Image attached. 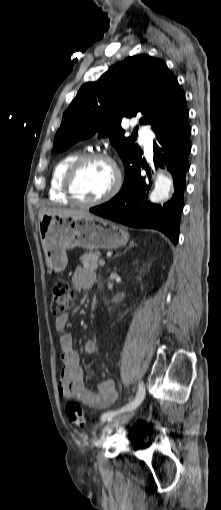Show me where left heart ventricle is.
Masks as SVG:
<instances>
[{
	"label": "left heart ventricle",
	"instance_id": "obj_1",
	"mask_svg": "<svg viewBox=\"0 0 221 510\" xmlns=\"http://www.w3.org/2000/svg\"><path fill=\"white\" fill-rule=\"evenodd\" d=\"M114 181V170L109 163L92 160L80 169L74 182V190L80 199L92 201L108 193Z\"/></svg>",
	"mask_w": 221,
	"mask_h": 510
}]
</instances>
